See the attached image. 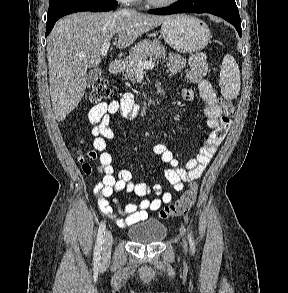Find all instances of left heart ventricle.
<instances>
[{"instance_id":"obj_1","label":"left heart ventricle","mask_w":288,"mask_h":293,"mask_svg":"<svg viewBox=\"0 0 288 293\" xmlns=\"http://www.w3.org/2000/svg\"><path fill=\"white\" fill-rule=\"evenodd\" d=\"M156 1H164V0H156Z\"/></svg>"}]
</instances>
